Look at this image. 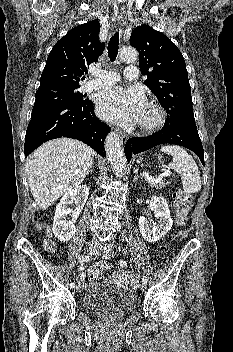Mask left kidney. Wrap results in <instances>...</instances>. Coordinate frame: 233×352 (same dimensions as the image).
Listing matches in <instances>:
<instances>
[{"mask_svg":"<svg viewBox=\"0 0 233 352\" xmlns=\"http://www.w3.org/2000/svg\"><path fill=\"white\" fill-rule=\"evenodd\" d=\"M151 199V207L155 217L159 219L158 224L150 227L147 218L141 216L139 218V228L141 235L146 241L156 242L171 229L173 221L166 200L155 195Z\"/></svg>","mask_w":233,"mask_h":352,"instance_id":"1","label":"left kidney"}]
</instances>
